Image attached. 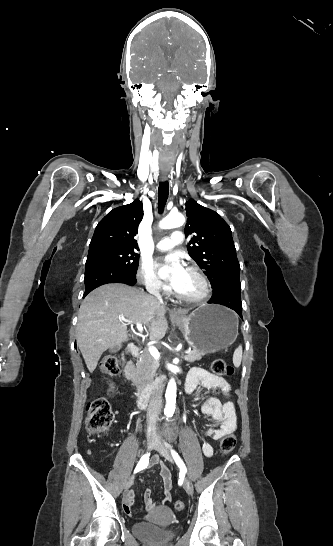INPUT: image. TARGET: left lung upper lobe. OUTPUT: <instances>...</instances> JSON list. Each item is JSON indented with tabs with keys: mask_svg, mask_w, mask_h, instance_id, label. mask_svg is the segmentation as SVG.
I'll list each match as a JSON object with an SVG mask.
<instances>
[{
	"mask_svg": "<svg viewBox=\"0 0 333 546\" xmlns=\"http://www.w3.org/2000/svg\"><path fill=\"white\" fill-rule=\"evenodd\" d=\"M188 216L185 234L191 238L187 249L205 271L213 288L224 280L239 278L240 265L229 225L215 211L190 199L185 203Z\"/></svg>",
	"mask_w": 333,
	"mask_h": 546,
	"instance_id": "1",
	"label": "left lung upper lobe"
}]
</instances>
